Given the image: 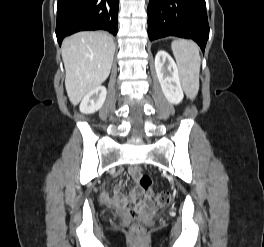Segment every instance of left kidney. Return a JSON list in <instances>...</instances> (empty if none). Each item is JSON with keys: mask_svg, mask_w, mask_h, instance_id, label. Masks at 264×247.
I'll list each match as a JSON object with an SVG mask.
<instances>
[{"mask_svg": "<svg viewBox=\"0 0 264 247\" xmlns=\"http://www.w3.org/2000/svg\"><path fill=\"white\" fill-rule=\"evenodd\" d=\"M155 70L166 99L172 104H179L183 97L180 76L172 57L163 50L155 56Z\"/></svg>", "mask_w": 264, "mask_h": 247, "instance_id": "1", "label": "left kidney"}]
</instances>
